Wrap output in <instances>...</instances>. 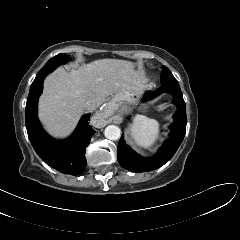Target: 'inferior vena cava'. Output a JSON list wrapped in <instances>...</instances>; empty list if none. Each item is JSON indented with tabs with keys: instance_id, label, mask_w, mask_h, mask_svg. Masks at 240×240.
I'll use <instances>...</instances> for the list:
<instances>
[{
	"instance_id": "1",
	"label": "inferior vena cava",
	"mask_w": 240,
	"mask_h": 240,
	"mask_svg": "<svg viewBox=\"0 0 240 240\" xmlns=\"http://www.w3.org/2000/svg\"><path fill=\"white\" fill-rule=\"evenodd\" d=\"M95 108H96L95 105L92 104L91 101H86L84 103V109L87 110V111H93Z\"/></svg>"
}]
</instances>
